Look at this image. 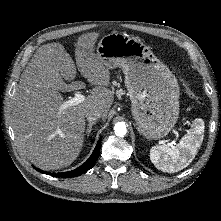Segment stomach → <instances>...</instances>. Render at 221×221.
I'll return each instance as SVG.
<instances>
[{
  "label": "stomach",
  "mask_w": 221,
  "mask_h": 221,
  "mask_svg": "<svg viewBox=\"0 0 221 221\" xmlns=\"http://www.w3.org/2000/svg\"><path fill=\"white\" fill-rule=\"evenodd\" d=\"M96 54L108 69L120 67L141 134L149 139L168 135L179 115V85L169 68L141 40L124 33L103 36Z\"/></svg>",
  "instance_id": "stomach-1"
}]
</instances>
